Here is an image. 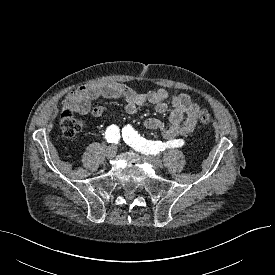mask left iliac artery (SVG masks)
Here are the masks:
<instances>
[{
	"label": "left iliac artery",
	"instance_id": "left-iliac-artery-1",
	"mask_svg": "<svg viewBox=\"0 0 275 275\" xmlns=\"http://www.w3.org/2000/svg\"><path fill=\"white\" fill-rule=\"evenodd\" d=\"M122 136L126 143L145 154H157L166 148L182 147L185 144L182 139H175L167 142L146 140L141 137L131 125H126L122 129Z\"/></svg>",
	"mask_w": 275,
	"mask_h": 275
}]
</instances>
